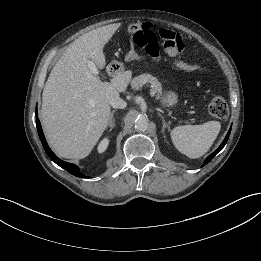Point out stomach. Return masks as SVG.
I'll list each match as a JSON object with an SVG mask.
<instances>
[{"instance_id":"0dacf381","label":"stomach","mask_w":261,"mask_h":261,"mask_svg":"<svg viewBox=\"0 0 261 261\" xmlns=\"http://www.w3.org/2000/svg\"><path fill=\"white\" fill-rule=\"evenodd\" d=\"M119 64L117 62L111 63V67L113 66L114 68H118ZM178 102V96L175 92L173 91H166L163 96H162V105L166 107H171L176 105Z\"/></svg>"}]
</instances>
